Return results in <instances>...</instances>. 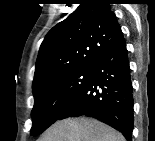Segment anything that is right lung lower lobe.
<instances>
[{"instance_id": "1", "label": "right lung lower lobe", "mask_w": 155, "mask_h": 141, "mask_svg": "<svg viewBox=\"0 0 155 141\" xmlns=\"http://www.w3.org/2000/svg\"><path fill=\"white\" fill-rule=\"evenodd\" d=\"M133 87L126 43L121 34L102 54L87 84L59 120L92 116L119 130L127 140L133 131Z\"/></svg>"}]
</instances>
